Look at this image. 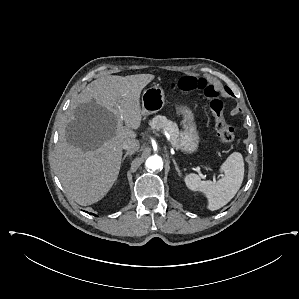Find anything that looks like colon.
<instances>
[{"instance_id":"obj_1","label":"colon","mask_w":299,"mask_h":299,"mask_svg":"<svg viewBox=\"0 0 299 299\" xmlns=\"http://www.w3.org/2000/svg\"><path fill=\"white\" fill-rule=\"evenodd\" d=\"M172 87L183 92L201 91L209 100V107L215 121L217 138L222 144L229 145L234 141V130L224 116V103L217 89L204 78L186 76L172 83Z\"/></svg>"}]
</instances>
